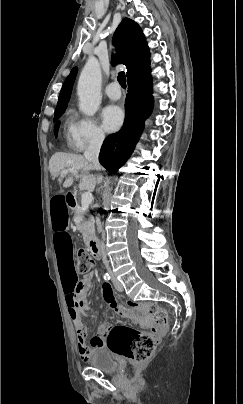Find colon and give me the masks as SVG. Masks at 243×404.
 Wrapping results in <instances>:
<instances>
[{
	"label": "colon",
	"mask_w": 243,
	"mask_h": 404,
	"mask_svg": "<svg viewBox=\"0 0 243 404\" xmlns=\"http://www.w3.org/2000/svg\"><path fill=\"white\" fill-rule=\"evenodd\" d=\"M95 266L94 260L84 250L78 252V269L81 273L90 272ZM129 305L143 309L151 315L157 326L164 328L168 323L167 312L153 303L130 301ZM159 329L151 332H141L124 324L115 325L111 328L106 346L117 355L128 358L135 362H143L154 353L158 341Z\"/></svg>",
	"instance_id": "obj_1"
}]
</instances>
